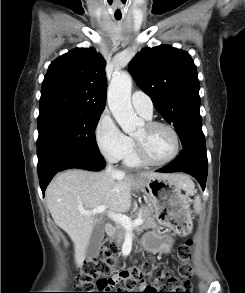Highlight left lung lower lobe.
Masks as SVG:
<instances>
[{"instance_id":"1","label":"left lung lower lobe","mask_w":245,"mask_h":293,"mask_svg":"<svg viewBox=\"0 0 245 293\" xmlns=\"http://www.w3.org/2000/svg\"><path fill=\"white\" fill-rule=\"evenodd\" d=\"M208 161L206 150L184 148L179 156L157 172H184L192 175L205 189Z\"/></svg>"}]
</instances>
